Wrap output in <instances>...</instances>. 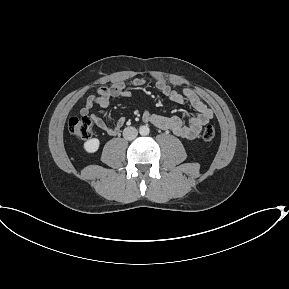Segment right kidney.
<instances>
[{
	"instance_id": "1",
	"label": "right kidney",
	"mask_w": 289,
	"mask_h": 289,
	"mask_svg": "<svg viewBox=\"0 0 289 289\" xmlns=\"http://www.w3.org/2000/svg\"><path fill=\"white\" fill-rule=\"evenodd\" d=\"M100 141L97 138L87 140L83 148L87 153H95L99 149Z\"/></svg>"
}]
</instances>
